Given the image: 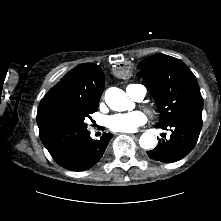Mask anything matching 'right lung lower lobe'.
Wrapping results in <instances>:
<instances>
[{
	"instance_id": "1",
	"label": "right lung lower lobe",
	"mask_w": 221,
	"mask_h": 221,
	"mask_svg": "<svg viewBox=\"0 0 221 221\" xmlns=\"http://www.w3.org/2000/svg\"><path fill=\"white\" fill-rule=\"evenodd\" d=\"M112 137L111 133H103L100 140H93L87 132L62 149L50 154L62 167L73 171H84L99 162Z\"/></svg>"
}]
</instances>
